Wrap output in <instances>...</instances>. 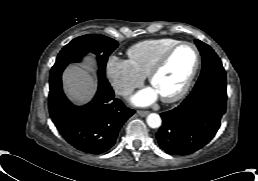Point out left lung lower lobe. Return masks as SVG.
<instances>
[{
    "label": "left lung lower lobe",
    "mask_w": 258,
    "mask_h": 181,
    "mask_svg": "<svg viewBox=\"0 0 258 181\" xmlns=\"http://www.w3.org/2000/svg\"><path fill=\"white\" fill-rule=\"evenodd\" d=\"M224 80H209L194 87L173 110L161 113L156 133L159 146L170 155H188L205 146L216 134L226 111Z\"/></svg>",
    "instance_id": "1"
}]
</instances>
